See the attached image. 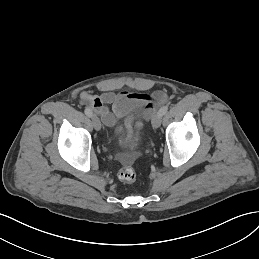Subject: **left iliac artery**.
I'll list each match as a JSON object with an SVG mask.
<instances>
[{"instance_id": "left-iliac-artery-1", "label": "left iliac artery", "mask_w": 259, "mask_h": 259, "mask_svg": "<svg viewBox=\"0 0 259 259\" xmlns=\"http://www.w3.org/2000/svg\"><path fill=\"white\" fill-rule=\"evenodd\" d=\"M168 111V106H163V107H161L160 109H159V114L160 115H164V114H166V112Z\"/></svg>"}]
</instances>
